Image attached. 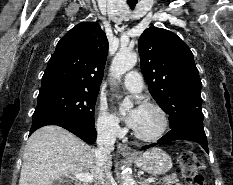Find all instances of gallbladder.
Returning <instances> with one entry per match:
<instances>
[{
	"label": "gallbladder",
	"mask_w": 233,
	"mask_h": 185,
	"mask_svg": "<svg viewBox=\"0 0 233 185\" xmlns=\"http://www.w3.org/2000/svg\"><path fill=\"white\" fill-rule=\"evenodd\" d=\"M53 185H70V184H65V183L60 182V181H55Z\"/></svg>",
	"instance_id": "1"
}]
</instances>
